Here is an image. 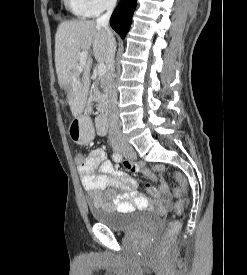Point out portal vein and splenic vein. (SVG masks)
Segmentation results:
<instances>
[{
    "instance_id": "18ae733b",
    "label": "portal vein and splenic vein",
    "mask_w": 247,
    "mask_h": 275,
    "mask_svg": "<svg viewBox=\"0 0 247 275\" xmlns=\"http://www.w3.org/2000/svg\"><path fill=\"white\" fill-rule=\"evenodd\" d=\"M87 55H88V52H85V51L80 53V58H81L82 62L86 60ZM78 69H79V71H82V65ZM106 71H107V69H106L105 64H99L98 65L97 74H98L99 77L104 76L106 74Z\"/></svg>"
}]
</instances>
